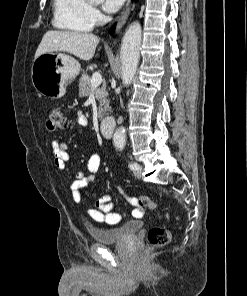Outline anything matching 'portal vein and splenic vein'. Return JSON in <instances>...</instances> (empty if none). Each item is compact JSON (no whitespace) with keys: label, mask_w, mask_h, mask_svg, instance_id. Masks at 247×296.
Instances as JSON below:
<instances>
[{"label":"portal vein and splenic vein","mask_w":247,"mask_h":296,"mask_svg":"<svg viewBox=\"0 0 247 296\" xmlns=\"http://www.w3.org/2000/svg\"><path fill=\"white\" fill-rule=\"evenodd\" d=\"M102 83V76L99 72H94L91 78V87L97 88Z\"/></svg>","instance_id":"obj_1"}]
</instances>
